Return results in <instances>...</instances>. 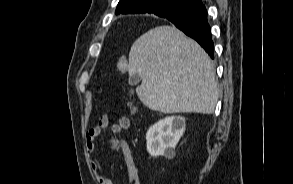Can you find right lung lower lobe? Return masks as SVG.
Here are the masks:
<instances>
[{
	"instance_id": "obj_1",
	"label": "right lung lower lobe",
	"mask_w": 293,
	"mask_h": 184,
	"mask_svg": "<svg viewBox=\"0 0 293 184\" xmlns=\"http://www.w3.org/2000/svg\"><path fill=\"white\" fill-rule=\"evenodd\" d=\"M168 19L186 35L196 40L204 50L214 58V44L211 29L207 21V11L203 4H191L166 15Z\"/></svg>"
}]
</instances>
